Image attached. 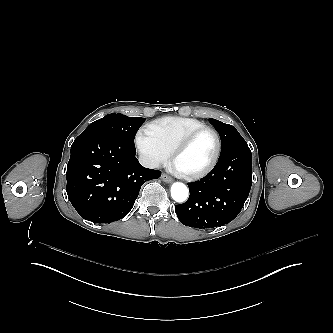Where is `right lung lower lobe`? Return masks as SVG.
<instances>
[{
	"label": "right lung lower lobe",
	"mask_w": 333,
	"mask_h": 333,
	"mask_svg": "<svg viewBox=\"0 0 333 333\" xmlns=\"http://www.w3.org/2000/svg\"><path fill=\"white\" fill-rule=\"evenodd\" d=\"M136 149L109 135H79L67 165V195L79 215L110 223L132 209L142 184L161 172L143 167Z\"/></svg>",
	"instance_id": "right-lung-lower-lobe-1"
}]
</instances>
